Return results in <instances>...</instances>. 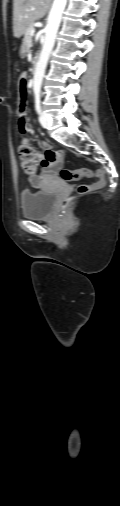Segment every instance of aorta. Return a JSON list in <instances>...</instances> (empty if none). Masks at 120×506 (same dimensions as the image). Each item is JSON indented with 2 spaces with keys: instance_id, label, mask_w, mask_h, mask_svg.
Wrapping results in <instances>:
<instances>
[{
  "instance_id": "aorta-1",
  "label": "aorta",
  "mask_w": 120,
  "mask_h": 506,
  "mask_svg": "<svg viewBox=\"0 0 120 506\" xmlns=\"http://www.w3.org/2000/svg\"><path fill=\"white\" fill-rule=\"evenodd\" d=\"M66 3L67 0H54L51 11L49 13L47 25L45 27V38L42 50L34 72L33 91L35 94L40 93L46 66L55 43V38L60 26Z\"/></svg>"
}]
</instances>
